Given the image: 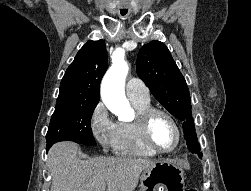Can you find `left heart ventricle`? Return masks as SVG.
I'll return each instance as SVG.
<instances>
[{"label":"left heart ventricle","instance_id":"left-heart-ventricle-1","mask_svg":"<svg viewBox=\"0 0 251 191\" xmlns=\"http://www.w3.org/2000/svg\"><path fill=\"white\" fill-rule=\"evenodd\" d=\"M151 138L155 146L163 151H173L178 145L179 136L172 121L161 114L154 117L151 124Z\"/></svg>","mask_w":251,"mask_h":191}]
</instances>
